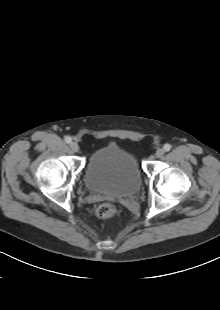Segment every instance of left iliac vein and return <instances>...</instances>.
<instances>
[{
	"label": "left iliac vein",
	"mask_w": 220,
	"mask_h": 310,
	"mask_svg": "<svg viewBox=\"0 0 220 310\" xmlns=\"http://www.w3.org/2000/svg\"><path fill=\"white\" fill-rule=\"evenodd\" d=\"M157 158H161L164 155V150L163 149H158L155 153Z\"/></svg>",
	"instance_id": "obj_1"
}]
</instances>
